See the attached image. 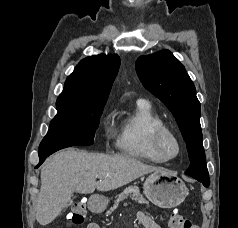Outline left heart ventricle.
Wrapping results in <instances>:
<instances>
[{
  "label": "left heart ventricle",
  "mask_w": 238,
  "mask_h": 228,
  "mask_svg": "<svg viewBox=\"0 0 238 228\" xmlns=\"http://www.w3.org/2000/svg\"><path fill=\"white\" fill-rule=\"evenodd\" d=\"M164 150L166 154L173 155L176 151L175 145L169 139H166L164 142Z\"/></svg>",
  "instance_id": "1"
}]
</instances>
